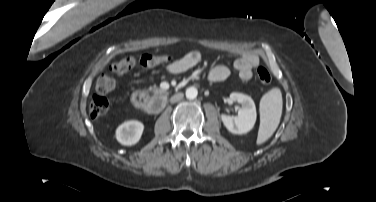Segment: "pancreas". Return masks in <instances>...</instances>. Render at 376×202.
I'll return each instance as SVG.
<instances>
[{"label": "pancreas", "instance_id": "obj_1", "mask_svg": "<svg viewBox=\"0 0 376 202\" xmlns=\"http://www.w3.org/2000/svg\"><path fill=\"white\" fill-rule=\"evenodd\" d=\"M146 92H151L153 93L154 95L158 96V95H165L166 94V91L161 89V88H158L156 86L154 87H149Z\"/></svg>", "mask_w": 376, "mask_h": 202}]
</instances>
